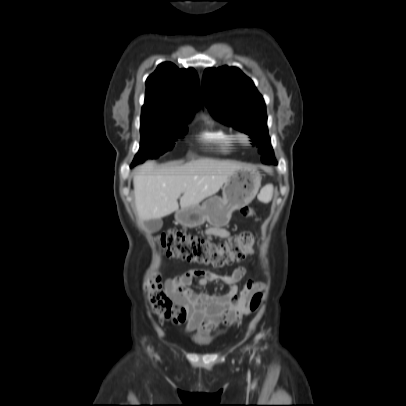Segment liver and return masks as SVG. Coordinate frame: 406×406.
<instances>
[{
  "instance_id": "6515ba94",
  "label": "liver",
  "mask_w": 406,
  "mask_h": 406,
  "mask_svg": "<svg viewBox=\"0 0 406 406\" xmlns=\"http://www.w3.org/2000/svg\"><path fill=\"white\" fill-rule=\"evenodd\" d=\"M242 163L209 158L184 165L158 168L155 162L141 165L134 176L135 205L141 221L160 219L180 207L198 205L216 194Z\"/></svg>"
}]
</instances>
